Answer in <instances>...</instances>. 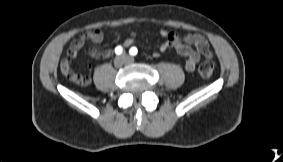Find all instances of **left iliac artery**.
<instances>
[{"label":"left iliac artery","instance_id":"1","mask_svg":"<svg viewBox=\"0 0 283 162\" xmlns=\"http://www.w3.org/2000/svg\"><path fill=\"white\" fill-rule=\"evenodd\" d=\"M129 53L132 55V56H135L137 53H138V50L136 47H132L129 51Z\"/></svg>","mask_w":283,"mask_h":162}]
</instances>
